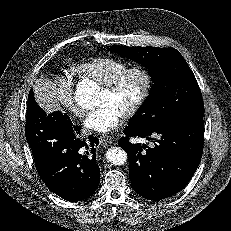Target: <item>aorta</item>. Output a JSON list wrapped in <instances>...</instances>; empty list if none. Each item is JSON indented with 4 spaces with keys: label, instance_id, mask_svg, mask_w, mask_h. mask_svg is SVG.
Wrapping results in <instances>:
<instances>
[{
    "label": "aorta",
    "instance_id": "1",
    "mask_svg": "<svg viewBox=\"0 0 231 231\" xmlns=\"http://www.w3.org/2000/svg\"><path fill=\"white\" fill-rule=\"evenodd\" d=\"M95 92V86H88L84 82L79 83L75 92L78 104L87 109L95 106ZM106 158L112 165L120 166L127 161V154L120 147H111L106 152Z\"/></svg>",
    "mask_w": 231,
    "mask_h": 231
}]
</instances>
